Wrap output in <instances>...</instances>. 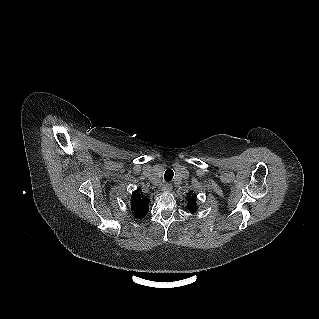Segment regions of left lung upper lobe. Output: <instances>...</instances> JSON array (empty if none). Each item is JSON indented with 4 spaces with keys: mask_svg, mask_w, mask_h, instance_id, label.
Instances as JSON below:
<instances>
[{
    "mask_svg": "<svg viewBox=\"0 0 319 319\" xmlns=\"http://www.w3.org/2000/svg\"><path fill=\"white\" fill-rule=\"evenodd\" d=\"M197 208H196V206H195V202H194V200H191L190 202H189V210L190 211H195Z\"/></svg>",
    "mask_w": 319,
    "mask_h": 319,
    "instance_id": "5c2ea615",
    "label": "left lung upper lobe"
}]
</instances>
